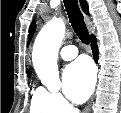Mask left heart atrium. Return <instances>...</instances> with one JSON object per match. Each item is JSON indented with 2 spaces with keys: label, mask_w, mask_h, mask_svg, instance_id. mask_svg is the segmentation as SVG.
<instances>
[{
  "label": "left heart atrium",
  "mask_w": 121,
  "mask_h": 113,
  "mask_svg": "<svg viewBox=\"0 0 121 113\" xmlns=\"http://www.w3.org/2000/svg\"><path fill=\"white\" fill-rule=\"evenodd\" d=\"M95 84V69L92 63L81 58L71 63L63 72V90L76 103L85 101Z\"/></svg>",
  "instance_id": "1"
}]
</instances>
